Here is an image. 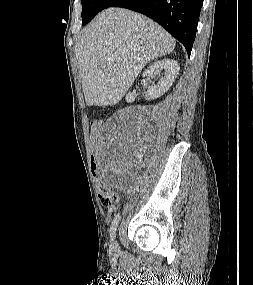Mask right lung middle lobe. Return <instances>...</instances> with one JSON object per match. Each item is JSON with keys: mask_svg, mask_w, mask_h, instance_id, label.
<instances>
[{"mask_svg": "<svg viewBox=\"0 0 253 285\" xmlns=\"http://www.w3.org/2000/svg\"><path fill=\"white\" fill-rule=\"evenodd\" d=\"M116 0H81L82 24L88 23L97 13L110 7Z\"/></svg>", "mask_w": 253, "mask_h": 285, "instance_id": "obj_1", "label": "right lung middle lobe"}]
</instances>
